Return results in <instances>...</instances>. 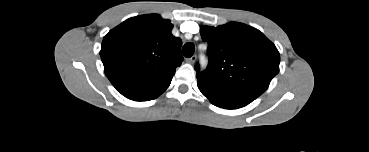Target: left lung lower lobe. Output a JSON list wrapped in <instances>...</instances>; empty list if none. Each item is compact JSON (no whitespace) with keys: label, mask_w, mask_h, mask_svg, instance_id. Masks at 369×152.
Masks as SVG:
<instances>
[{"label":"left lung lower lobe","mask_w":369,"mask_h":152,"mask_svg":"<svg viewBox=\"0 0 369 152\" xmlns=\"http://www.w3.org/2000/svg\"><path fill=\"white\" fill-rule=\"evenodd\" d=\"M197 85L202 94L205 95L213 105L220 108L237 109L248 105L254 100L247 96L217 90L199 82H197Z\"/></svg>","instance_id":"1"}]
</instances>
